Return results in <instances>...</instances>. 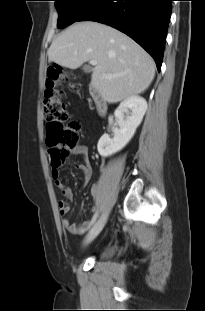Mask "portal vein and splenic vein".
Returning a JSON list of instances; mask_svg holds the SVG:
<instances>
[{
	"label": "portal vein and splenic vein",
	"mask_w": 205,
	"mask_h": 311,
	"mask_svg": "<svg viewBox=\"0 0 205 311\" xmlns=\"http://www.w3.org/2000/svg\"><path fill=\"white\" fill-rule=\"evenodd\" d=\"M90 64L95 66V65H97V61L96 60H91ZM105 76L106 77H111L110 75H105Z\"/></svg>",
	"instance_id": "obj_1"
}]
</instances>
